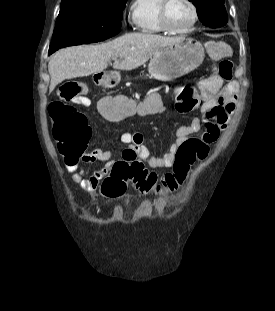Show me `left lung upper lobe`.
I'll use <instances>...</instances> for the list:
<instances>
[{
  "label": "left lung upper lobe",
  "mask_w": 275,
  "mask_h": 311,
  "mask_svg": "<svg viewBox=\"0 0 275 311\" xmlns=\"http://www.w3.org/2000/svg\"><path fill=\"white\" fill-rule=\"evenodd\" d=\"M197 8L199 20L211 28L224 26L228 16L224 6V0H189Z\"/></svg>",
  "instance_id": "5c2ea615"
}]
</instances>
